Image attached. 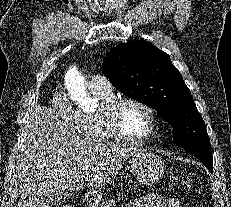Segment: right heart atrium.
<instances>
[{
    "label": "right heart atrium",
    "mask_w": 231,
    "mask_h": 207,
    "mask_svg": "<svg viewBox=\"0 0 231 207\" xmlns=\"http://www.w3.org/2000/svg\"><path fill=\"white\" fill-rule=\"evenodd\" d=\"M51 105L61 122L68 127H77L78 113L71 107L63 90H56L51 97Z\"/></svg>",
    "instance_id": "d8ad5b80"
}]
</instances>
